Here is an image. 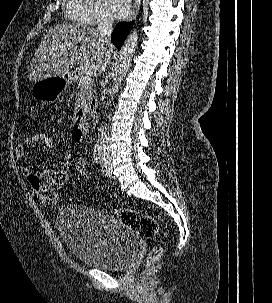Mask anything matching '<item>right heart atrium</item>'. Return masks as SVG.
I'll use <instances>...</instances> for the list:
<instances>
[{
  "instance_id": "d8ad5b80",
  "label": "right heart atrium",
  "mask_w": 272,
  "mask_h": 303,
  "mask_svg": "<svg viewBox=\"0 0 272 303\" xmlns=\"http://www.w3.org/2000/svg\"><path fill=\"white\" fill-rule=\"evenodd\" d=\"M90 24H107L111 17L101 0H87Z\"/></svg>"
}]
</instances>
